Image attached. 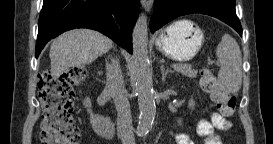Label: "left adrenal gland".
Returning <instances> with one entry per match:
<instances>
[{"label":"left adrenal gland","instance_id":"1","mask_svg":"<svg viewBox=\"0 0 273 144\" xmlns=\"http://www.w3.org/2000/svg\"><path fill=\"white\" fill-rule=\"evenodd\" d=\"M160 69H161V73H162V82H164L165 79H166L167 74H168V73H171L172 70H170V69H165V66H164L163 64H161Z\"/></svg>","mask_w":273,"mask_h":144}]
</instances>
